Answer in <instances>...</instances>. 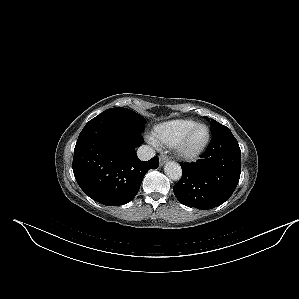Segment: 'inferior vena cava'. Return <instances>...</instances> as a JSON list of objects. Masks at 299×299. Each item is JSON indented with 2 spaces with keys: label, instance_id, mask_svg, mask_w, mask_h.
Listing matches in <instances>:
<instances>
[{
  "label": "inferior vena cava",
  "instance_id": "obj_1",
  "mask_svg": "<svg viewBox=\"0 0 299 299\" xmlns=\"http://www.w3.org/2000/svg\"><path fill=\"white\" fill-rule=\"evenodd\" d=\"M137 156L140 160L147 161L155 156V151L147 145H142L137 150Z\"/></svg>",
  "mask_w": 299,
  "mask_h": 299
}]
</instances>
